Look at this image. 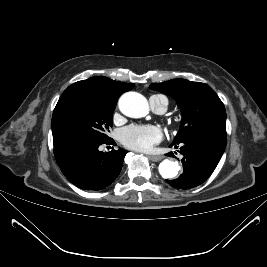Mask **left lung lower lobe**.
<instances>
[{"instance_id":"left-lung-lower-lobe-1","label":"left lung lower lobe","mask_w":267,"mask_h":267,"mask_svg":"<svg viewBox=\"0 0 267 267\" xmlns=\"http://www.w3.org/2000/svg\"><path fill=\"white\" fill-rule=\"evenodd\" d=\"M227 139L219 135H202L190 138L179 144H172L179 148L184 157L183 173L174 180H166L174 188L190 189L206 181L216 168L226 147ZM174 157L173 152L166 154Z\"/></svg>"}]
</instances>
